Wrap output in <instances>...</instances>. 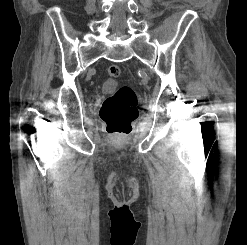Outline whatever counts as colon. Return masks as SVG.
<instances>
[{
  "label": "colon",
  "mask_w": 247,
  "mask_h": 245,
  "mask_svg": "<svg viewBox=\"0 0 247 245\" xmlns=\"http://www.w3.org/2000/svg\"><path fill=\"white\" fill-rule=\"evenodd\" d=\"M121 73L118 65H110V77H118ZM138 100L136 93L129 86L120 87L114 94L107 97L101 108L100 118L111 133H128L138 117Z\"/></svg>",
  "instance_id": "5ec220e1"
}]
</instances>
